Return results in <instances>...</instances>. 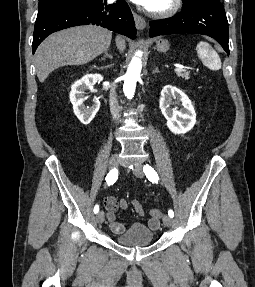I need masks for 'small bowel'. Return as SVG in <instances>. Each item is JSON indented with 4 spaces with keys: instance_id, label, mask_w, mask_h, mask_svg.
I'll use <instances>...</instances> for the list:
<instances>
[{
    "instance_id": "c3829d8e",
    "label": "small bowel",
    "mask_w": 255,
    "mask_h": 287,
    "mask_svg": "<svg viewBox=\"0 0 255 287\" xmlns=\"http://www.w3.org/2000/svg\"><path fill=\"white\" fill-rule=\"evenodd\" d=\"M128 205L129 204H128L127 200H125V199L118 200L114 197H108L105 199V207L107 210L108 225H109V228L111 229V231L115 234H120L125 230V226L115 219V212L117 209H121V210L127 209ZM131 205H132L134 211L138 215H140V216L145 215V210L139 201L133 200L131 202ZM148 226L153 230L158 229L159 219H156L154 217H150V219L148 220Z\"/></svg>"
}]
</instances>
